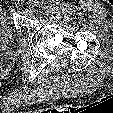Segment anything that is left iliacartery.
I'll use <instances>...</instances> for the list:
<instances>
[{"mask_svg": "<svg viewBox=\"0 0 113 113\" xmlns=\"http://www.w3.org/2000/svg\"><path fill=\"white\" fill-rule=\"evenodd\" d=\"M41 3H42L41 0H36V1H35L36 6H40Z\"/></svg>", "mask_w": 113, "mask_h": 113, "instance_id": "44dca946", "label": "left iliac artery"}]
</instances>
